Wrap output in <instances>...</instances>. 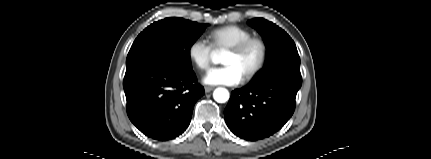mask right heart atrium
<instances>
[{
    "label": "right heart atrium",
    "instance_id": "d8ad5b80",
    "mask_svg": "<svg viewBox=\"0 0 431 159\" xmlns=\"http://www.w3.org/2000/svg\"><path fill=\"white\" fill-rule=\"evenodd\" d=\"M187 54L198 69L206 70L211 63L214 48L203 38H196L189 44Z\"/></svg>",
    "mask_w": 431,
    "mask_h": 159
}]
</instances>
